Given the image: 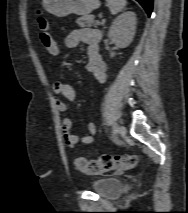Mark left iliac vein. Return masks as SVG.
I'll return each mask as SVG.
<instances>
[{
    "instance_id": "4c4485c4",
    "label": "left iliac vein",
    "mask_w": 188,
    "mask_h": 213,
    "mask_svg": "<svg viewBox=\"0 0 188 213\" xmlns=\"http://www.w3.org/2000/svg\"><path fill=\"white\" fill-rule=\"evenodd\" d=\"M126 132H127V130H126V128L124 127V126H119L118 127V133L121 135V136H125L126 135Z\"/></svg>"
}]
</instances>
